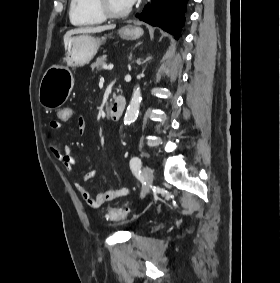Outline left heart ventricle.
I'll return each mask as SVG.
<instances>
[{
  "instance_id": "left-heart-ventricle-1",
  "label": "left heart ventricle",
  "mask_w": 280,
  "mask_h": 283,
  "mask_svg": "<svg viewBox=\"0 0 280 283\" xmlns=\"http://www.w3.org/2000/svg\"><path fill=\"white\" fill-rule=\"evenodd\" d=\"M109 7L116 12H121L126 10L129 5L126 0H107Z\"/></svg>"
}]
</instances>
